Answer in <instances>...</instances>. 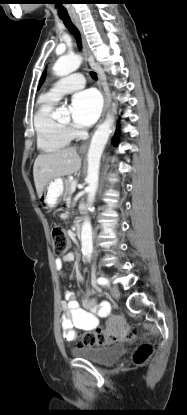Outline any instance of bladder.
<instances>
[{"instance_id":"obj_1","label":"bladder","mask_w":187,"mask_h":415,"mask_svg":"<svg viewBox=\"0 0 187 415\" xmlns=\"http://www.w3.org/2000/svg\"><path fill=\"white\" fill-rule=\"evenodd\" d=\"M126 351V344L116 343L107 347H74L71 354L75 357L86 359L101 366H107L119 360Z\"/></svg>"}]
</instances>
